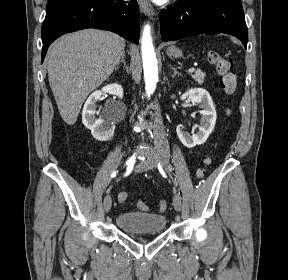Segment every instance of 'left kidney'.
Wrapping results in <instances>:
<instances>
[{
    "instance_id": "1",
    "label": "left kidney",
    "mask_w": 288,
    "mask_h": 280,
    "mask_svg": "<svg viewBox=\"0 0 288 280\" xmlns=\"http://www.w3.org/2000/svg\"><path fill=\"white\" fill-rule=\"evenodd\" d=\"M186 98L190 99L193 105H198L201 109L199 111L201 119L198 131L196 134L190 135L179 126L176 132L184 146L193 148L196 145L203 144L207 140L214 129L217 115L212 98L205 89H190L181 96V100H185Z\"/></svg>"
}]
</instances>
